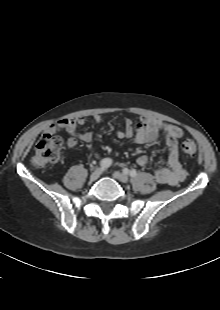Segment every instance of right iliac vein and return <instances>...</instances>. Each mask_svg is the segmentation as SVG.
<instances>
[{
	"mask_svg": "<svg viewBox=\"0 0 220 310\" xmlns=\"http://www.w3.org/2000/svg\"><path fill=\"white\" fill-rule=\"evenodd\" d=\"M101 173H102L101 169H96V170H95L94 172H92V174L90 175V179H91L92 181L97 180V179L100 177Z\"/></svg>",
	"mask_w": 220,
	"mask_h": 310,
	"instance_id": "right-iliac-vein-1",
	"label": "right iliac vein"
}]
</instances>
